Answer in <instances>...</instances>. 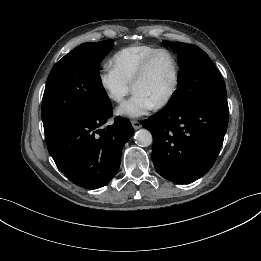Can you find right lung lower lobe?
Here are the masks:
<instances>
[{
  "instance_id": "obj_1",
  "label": "right lung lower lobe",
  "mask_w": 261,
  "mask_h": 261,
  "mask_svg": "<svg viewBox=\"0 0 261 261\" xmlns=\"http://www.w3.org/2000/svg\"><path fill=\"white\" fill-rule=\"evenodd\" d=\"M112 116L109 106L100 115L77 120L46 136L48 151L60 171L86 189L106 185L117 173L124 144L133 135L128 120L117 117L105 131L99 128Z\"/></svg>"
}]
</instances>
